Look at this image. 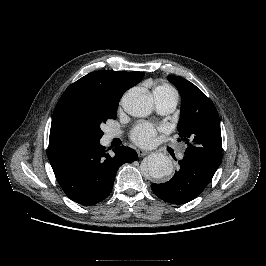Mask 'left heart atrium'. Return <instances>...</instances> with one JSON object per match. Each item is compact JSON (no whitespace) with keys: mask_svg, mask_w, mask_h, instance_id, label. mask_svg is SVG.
<instances>
[{"mask_svg":"<svg viewBox=\"0 0 266 266\" xmlns=\"http://www.w3.org/2000/svg\"><path fill=\"white\" fill-rule=\"evenodd\" d=\"M156 129L150 123H140L131 132V139L140 146H148L154 142Z\"/></svg>","mask_w":266,"mask_h":266,"instance_id":"39dd6f15","label":"left heart atrium"}]
</instances>
